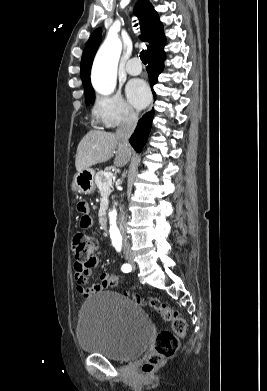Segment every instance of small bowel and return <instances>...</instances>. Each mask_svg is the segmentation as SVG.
<instances>
[{"instance_id": "c3829d8e", "label": "small bowel", "mask_w": 267, "mask_h": 391, "mask_svg": "<svg viewBox=\"0 0 267 391\" xmlns=\"http://www.w3.org/2000/svg\"><path fill=\"white\" fill-rule=\"evenodd\" d=\"M77 210L82 215L80 219L81 228L87 229L91 227L93 220L90 215L88 204L85 201L78 202ZM97 262L98 260L97 258H95V262L93 265L82 266L76 263L74 265V278L76 282V289L84 298H88L95 293L101 292L109 286L108 273L101 274L99 282L87 286L88 278L91 275L93 268L96 267Z\"/></svg>"}]
</instances>
